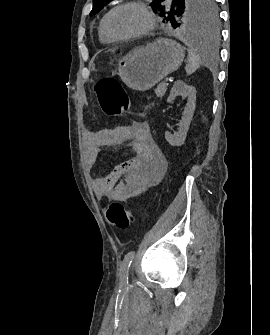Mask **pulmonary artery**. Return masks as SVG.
<instances>
[{
	"label": "pulmonary artery",
	"instance_id": "1",
	"mask_svg": "<svg viewBox=\"0 0 270 335\" xmlns=\"http://www.w3.org/2000/svg\"><path fill=\"white\" fill-rule=\"evenodd\" d=\"M171 0H165L166 4H170Z\"/></svg>",
	"mask_w": 270,
	"mask_h": 335
}]
</instances>
